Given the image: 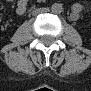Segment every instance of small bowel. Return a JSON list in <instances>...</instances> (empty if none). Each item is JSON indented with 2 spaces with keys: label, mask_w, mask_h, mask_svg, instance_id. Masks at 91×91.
I'll use <instances>...</instances> for the list:
<instances>
[{
  "label": "small bowel",
  "mask_w": 91,
  "mask_h": 91,
  "mask_svg": "<svg viewBox=\"0 0 91 91\" xmlns=\"http://www.w3.org/2000/svg\"><path fill=\"white\" fill-rule=\"evenodd\" d=\"M27 8V1L26 0H19L16 6V10L18 13H24ZM76 14V12H74Z\"/></svg>",
  "instance_id": "c3829d8e"
}]
</instances>
